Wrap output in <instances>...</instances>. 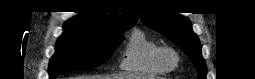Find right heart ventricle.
<instances>
[{"label": "right heart ventricle", "instance_id": "1", "mask_svg": "<svg viewBox=\"0 0 255 79\" xmlns=\"http://www.w3.org/2000/svg\"><path fill=\"white\" fill-rule=\"evenodd\" d=\"M158 42L141 30H135L123 51L120 67L126 72L163 75L166 70L157 61Z\"/></svg>", "mask_w": 255, "mask_h": 79}]
</instances>
